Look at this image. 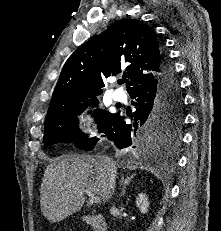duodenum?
Returning <instances> with one entry per match:
<instances>
[{"instance_id": "duodenum-1", "label": "duodenum", "mask_w": 221, "mask_h": 231, "mask_svg": "<svg viewBox=\"0 0 221 231\" xmlns=\"http://www.w3.org/2000/svg\"><path fill=\"white\" fill-rule=\"evenodd\" d=\"M84 220L92 226L94 231H106V223L101 215H87Z\"/></svg>"}]
</instances>
